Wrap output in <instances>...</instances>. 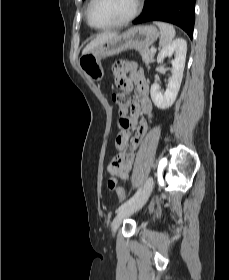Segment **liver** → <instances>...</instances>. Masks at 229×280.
<instances>
[{
  "label": "liver",
  "instance_id": "1",
  "mask_svg": "<svg viewBox=\"0 0 229 280\" xmlns=\"http://www.w3.org/2000/svg\"><path fill=\"white\" fill-rule=\"evenodd\" d=\"M117 35V32H104L100 35H98L96 38H94L90 43L86 45V47L82 51V55L89 52L94 47L103 44L104 42L108 41L109 39L115 37Z\"/></svg>",
  "mask_w": 229,
  "mask_h": 280
}]
</instances>
